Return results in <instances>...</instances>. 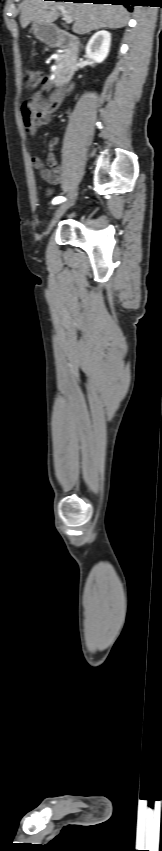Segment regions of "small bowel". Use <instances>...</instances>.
I'll return each instance as SVG.
<instances>
[{"label":"small bowel","mask_w":162,"mask_h":851,"mask_svg":"<svg viewBox=\"0 0 162 851\" xmlns=\"http://www.w3.org/2000/svg\"><path fill=\"white\" fill-rule=\"evenodd\" d=\"M60 82L56 75H51L49 81L45 80L41 89L32 96L30 102L22 106L23 123L27 132L31 135H34L38 128L50 122L51 115L59 108L62 100L66 99L68 94L72 93L78 86L74 79L69 80L66 84H60ZM48 88L50 90L57 88V90L48 99H44L43 93ZM58 141V137H53L49 146L54 148ZM31 162L33 167L40 171L41 177L48 183L56 184L61 179V168L52 154L47 157L49 168H45L43 160L38 156L32 157Z\"/></svg>","instance_id":"c3829d8e"}]
</instances>
